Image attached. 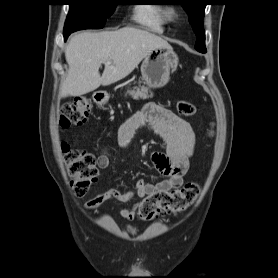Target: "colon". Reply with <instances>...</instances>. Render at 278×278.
Here are the masks:
<instances>
[{"label": "colon", "instance_id": "obj_1", "mask_svg": "<svg viewBox=\"0 0 278 278\" xmlns=\"http://www.w3.org/2000/svg\"><path fill=\"white\" fill-rule=\"evenodd\" d=\"M92 105L82 97L62 105L59 124L63 129L83 125L89 116ZM177 110L183 116H193L196 106L186 100L177 103ZM65 166L71 178L70 185L77 196H83L95 183L98 176L96 158L93 154L64 143L62 146ZM200 187L195 182L185 184L181 189L158 191L145 197L139 206V216L149 221L162 214L186 210L196 200Z\"/></svg>", "mask_w": 278, "mask_h": 278}]
</instances>
